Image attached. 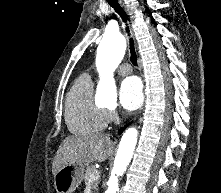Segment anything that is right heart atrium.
<instances>
[{
  "mask_svg": "<svg viewBox=\"0 0 221 193\" xmlns=\"http://www.w3.org/2000/svg\"><path fill=\"white\" fill-rule=\"evenodd\" d=\"M118 118V113L114 109H109L107 111L108 122H113Z\"/></svg>",
  "mask_w": 221,
  "mask_h": 193,
  "instance_id": "right-heart-atrium-1",
  "label": "right heart atrium"
}]
</instances>
